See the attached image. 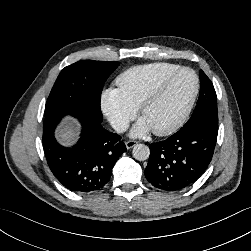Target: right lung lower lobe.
<instances>
[{"label":"right lung lower lobe","instance_id":"obj_1","mask_svg":"<svg viewBox=\"0 0 251 251\" xmlns=\"http://www.w3.org/2000/svg\"><path fill=\"white\" fill-rule=\"evenodd\" d=\"M65 115L77 118L81 137L72 147L60 145L54 131ZM121 137L107 131L97 119L83 112H69L45 117L43 147L49 168L58 181L70 191L92 193L102 189L110 180L112 168L126 151Z\"/></svg>","mask_w":251,"mask_h":251}]
</instances>
